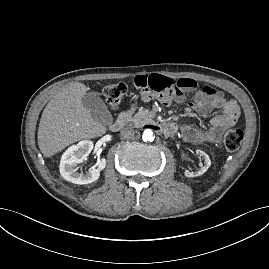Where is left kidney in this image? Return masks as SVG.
I'll return each instance as SVG.
<instances>
[{
  "label": "left kidney",
  "instance_id": "obj_1",
  "mask_svg": "<svg viewBox=\"0 0 269 269\" xmlns=\"http://www.w3.org/2000/svg\"><path fill=\"white\" fill-rule=\"evenodd\" d=\"M195 152H196V154L198 156L202 157V159L204 160V165L201 164L200 165V169H198V171H194L193 172V171L186 170L184 172V175L186 177H197V176H200V175L204 174L208 170V168L210 167V165H211V160H210L209 156L204 151H202L200 149H197Z\"/></svg>",
  "mask_w": 269,
  "mask_h": 269
}]
</instances>
